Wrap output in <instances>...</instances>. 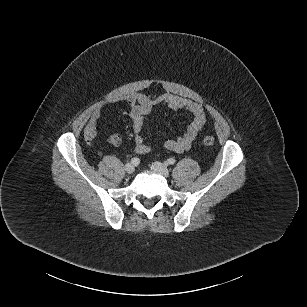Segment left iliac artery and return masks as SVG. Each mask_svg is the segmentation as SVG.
Here are the masks:
<instances>
[{
	"label": "left iliac artery",
	"instance_id": "obj_1",
	"mask_svg": "<svg viewBox=\"0 0 307 307\" xmlns=\"http://www.w3.org/2000/svg\"><path fill=\"white\" fill-rule=\"evenodd\" d=\"M175 159L174 158H169L168 160H167V164H169V165H173V164H175Z\"/></svg>",
	"mask_w": 307,
	"mask_h": 307
}]
</instances>
